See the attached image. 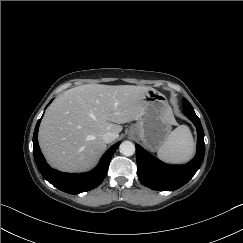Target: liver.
Listing matches in <instances>:
<instances>
[{
	"instance_id": "6515ba94",
	"label": "liver",
	"mask_w": 243,
	"mask_h": 243,
	"mask_svg": "<svg viewBox=\"0 0 243 243\" xmlns=\"http://www.w3.org/2000/svg\"><path fill=\"white\" fill-rule=\"evenodd\" d=\"M150 87L85 84L65 91L47 109L39 128V145L54 168L82 172L106 149L102 136L116 134L137 120Z\"/></svg>"
}]
</instances>
